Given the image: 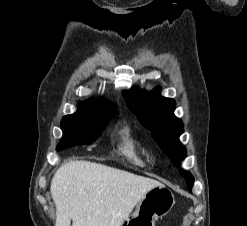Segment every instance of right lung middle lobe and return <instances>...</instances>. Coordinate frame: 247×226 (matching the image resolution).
<instances>
[{
  "label": "right lung middle lobe",
  "instance_id": "right-lung-middle-lobe-1",
  "mask_svg": "<svg viewBox=\"0 0 247 226\" xmlns=\"http://www.w3.org/2000/svg\"><path fill=\"white\" fill-rule=\"evenodd\" d=\"M110 117H98L95 105L90 101L81 103L76 113L65 116L61 121L63 137L57 150L79 144H89L105 127Z\"/></svg>",
  "mask_w": 247,
  "mask_h": 226
}]
</instances>
